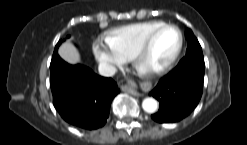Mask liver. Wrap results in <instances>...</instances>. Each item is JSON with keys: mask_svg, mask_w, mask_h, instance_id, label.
I'll return each instance as SVG.
<instances>
[{"mask_svg": "<svg viewBox=\"0 0 247 145\" xmlns=\"http://www.w3.org/2000/svg\"><path fill=\"white\" fill-rule=\"evenodd\" d=\"M60 57L71 65L81 63L79 53L75 46L70 42H64L58 49Z\"/></svg>", "mask_w": 247, "mask_h": 145, "instance_id": "6515ba94", "label": "liver"}]
</instances>
